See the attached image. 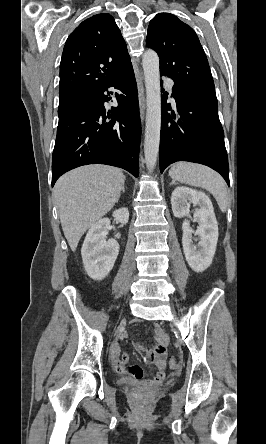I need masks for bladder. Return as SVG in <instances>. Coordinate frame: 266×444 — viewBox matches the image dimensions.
Segmentation results:
<instances>
[{
  "label": "bladder",
  "mask_w": 266,
  "mask_h": 444,
  "mask_svg": "<svg viewBox=\"0 0 266 444\" xmlns=\"http://www.w3.org/2000/svg\"><path fill=\"white\" fill-rule=\"evenodd\" d=\"M124 383H125V385H127V386H129V387H142L143 385L139 382V381H136V380H134V379H126L125 381H124Z\"/></svg>",
  "instance_id": "bladder-1"
}]
</instances>
